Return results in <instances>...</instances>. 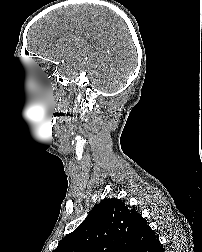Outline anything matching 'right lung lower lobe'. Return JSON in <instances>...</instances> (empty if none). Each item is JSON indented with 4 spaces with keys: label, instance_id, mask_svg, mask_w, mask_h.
Masks as SVG:
<instances>
[{
    "label": "right lung lower lobe",
    "instance_id": "right-lung-lower-lobe-1",
    "mask_svg": "<svg viewBox=\"0 0 202 252\" xmlns=\"http://www.w3.org/2000/svg\"><path fill=\"white\" fill-rule=\"evenodd\" d=\"M156 252H164L163 247H162V246H160V247L157 249V251H156Z\"/></svg>",
    "mask_w": 202,
    "mask_h": 252
}]
</instances>
